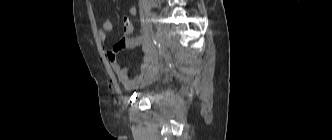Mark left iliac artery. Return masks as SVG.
I'll list each match as a JSON object with an SVG mask.
<instances>
[{
	"mask_svg": "<svg viewBox=\"0 0 332 140\" xmlns=\"http://www.w3.org/2000/svg\"><path fill=\"white\" fill-rule=\"evenodd\" d=\"M147 29H148L150 35L153 36L154 35V29H153V25H152L151 20H147Z\"/></svg>",
	"mask_w": 332,
	"mask_h": 140,
	"instance_id": "44dca946",
	"label": "left iliac artery"
}]
</instances>
